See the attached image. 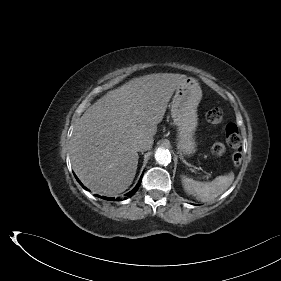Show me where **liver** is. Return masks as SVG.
<instances>
[{
    "label": "liver",
    "instance_id": "6515ba94",
    "mask_svg": "<svg viewBox=\"0 0 281 281\" xmlns=\"http://www.w3.org/2000/svg\"><path fill=\"white\" fill-rule=\"evenodd\" d=\"M186 75L156 73L107 92L79 119L70 140L72 168L91 191L124 192L138 165L137 142L152 139Z\"/></svg>",
    "mask_w": 281,
    "mask_h": 281
}]
</instances>
